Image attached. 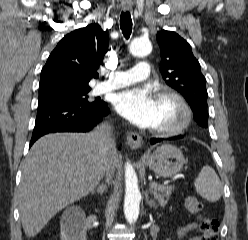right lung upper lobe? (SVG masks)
Listing matches in <instances>:
<instances>
[{"label": "right lung upper lobe", "mask_w": 248, "mask_h": 240, "mask_svg": "<svg viewBox=\"0 0 248 240\" xmlns=\"http://www.w3.org/2000/svg\"><path fill=\"white\" fill-rule=\"evenodd\" d=\"M108 51V35L98 23L77 29L58 43L41 71L39 99L90 91L88 82Z\"/></svg>", "instance_id": "1"}]
</instances>
